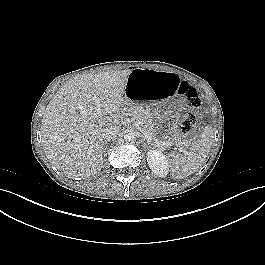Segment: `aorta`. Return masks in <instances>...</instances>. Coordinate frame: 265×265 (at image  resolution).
I'll return each instance as SVG.
<instances>
[{
    "instance_id": "1",
    "label": "aorta",
    "mask_w": 265,
    "mask_h": 265,
    "mask_svg": "<svg viewBox=\"0 0 265 265\" xmlns=\"http://www.w3.org/2000/svg\"><path fill=\"white\" fill-rule=\"evenodd\" d=\"M123 137L128 141L134 140L136 137V132L133 129H127L124 131Z\"/></svg>"
}]
</instances>
